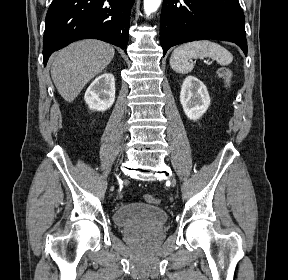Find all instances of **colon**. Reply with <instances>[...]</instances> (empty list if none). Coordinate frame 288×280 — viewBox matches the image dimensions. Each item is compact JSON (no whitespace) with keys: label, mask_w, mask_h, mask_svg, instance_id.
<instances>
[{"label":"colon","mask_w":288,"mask_h":280,"mask_svg":"<svg viewBox=\"0 0 288 280\" xmlns=\"http://www.w3.org/2000/svg\"><path fill=\"white\" fill-rule=\"evenodd\" d=\"M219 76L223 78L226 82H229L231 78V70L228 68H221L219 70ZM144 200L150 204H154V205L160 204V199L149 194H146L144 196Z\"/></svg>","instance_id":"1"}]
</instances>
